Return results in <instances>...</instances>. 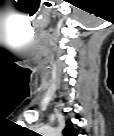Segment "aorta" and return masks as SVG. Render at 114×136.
Returning a JSON list of instances; mask_svg holds the SVG:
<instances>
[{
  "label": "aorta",
  "mask_w": 114,
  "mask_h": 136,
  "mask_svg": "<svg viewBox=\"0 0 114 136\" xmlns=\"http://www.w3.org/2000/svg\"><path fill=\"white\" fill-rule=\"evenodd\" d=\"M53 135H57L58 133L57 132H52Z\"/></svg>",
  "instance_id": "obj_1"
}]
</instances>
